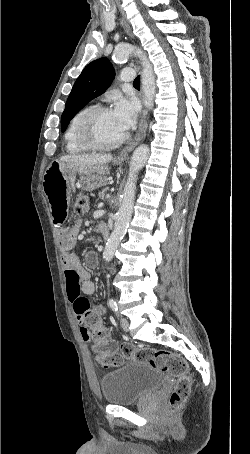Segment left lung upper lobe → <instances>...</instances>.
Returning <instances> with one entry per match:
<instances>
[{"label": "left lung upper lobe", "instance_id": "1", "mask_svg": "<svg viewBox=\"0 0 250 454\" xmlns=\"http://www.w3.org/2000/svg\"><path fill=\"white\" fill-rule=\"evenodd\" d=\"M114 76L115 70L107 58L92 61L84 68L67 99L61 117L62 132L66 130L75 114L110 86Z\"/></svg>", "mask_w": 250, "mask_h": 454}]
</instances>
